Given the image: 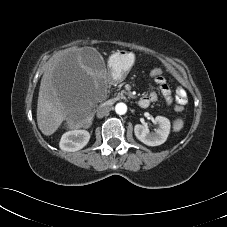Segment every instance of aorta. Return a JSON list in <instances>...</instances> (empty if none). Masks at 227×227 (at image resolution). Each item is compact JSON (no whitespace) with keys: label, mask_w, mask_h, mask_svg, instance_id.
Here are the masks:
<instances>
[{"label":"aorta","mask_w":227,"mask_h":227,"mask_svg":"<svg viewBox=\"0 0 227 227\" xmlns=\"http://www.w3.org/2000/svg\"><path fill=\"white\" fill-rule=\"evenodd\" d=\"M115 112L119 115H124L127 112V105L125 103H117L115 106Z\"/></svg>","instance_id":"1"}]
</instances>
